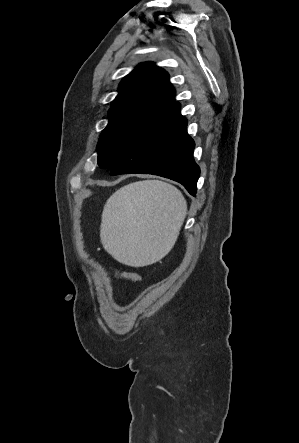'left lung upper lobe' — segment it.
I'll return each instance as SVG.
<instances>
[{"label": "left lung upper lobe", "mask_w": 299, "mask_h": 443, "mask_svg": "<svg viewBox=\"0 0 299 443\" xmlns=\"http://www.w3.org/2000/svg\"><path fill=\"white\" fill-rule=\"evenodd\" d=\"M118 91L97 144L98 165L103 169H111L176 103L168 73L152 62L138 65L122 79Z\"/></svg>", "instance_id": "1"}]
</instances>
